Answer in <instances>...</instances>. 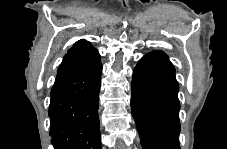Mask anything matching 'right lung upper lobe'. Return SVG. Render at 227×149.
<instances>
[{
	"mask_svg": "<svg viewBox=\"0 0 227 149\" xmlns=\"http://www.w3.org/2000/svg\"><path fill=\"white\" fill-rule=\"evenodd\" d=\"M98 57H100L98 51L90 42L84 39L79 40L68 50L57 72L92 61Z\"/></svg>",
	"mask_w": 227,
	"mask_h": 149,
	"instance_id": "right-lung-upper-lobe-1",
	"label": "right lung upper lobe"
}]
</instances>
